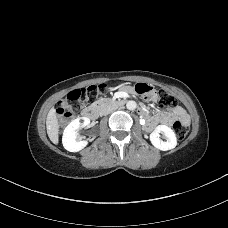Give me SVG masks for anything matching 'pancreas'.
Listing matches in <instances>:
<instances>
[{
    "instance_id": "obj_1",
    "label": "pancreas",
    "mask_w": 228,
    "mask_h": 228,
    "mask_svg": "<svg viewBox=\"0 0 228 228\" xmlns=\"http://www.w3.org/2000/svg\"><path fill=\"white\" fill-rule=\"evenodd\" d=\"M105 101H107V99H100L97 103L100 105V106H103Z\"/></svg>"
}]
</instances>
